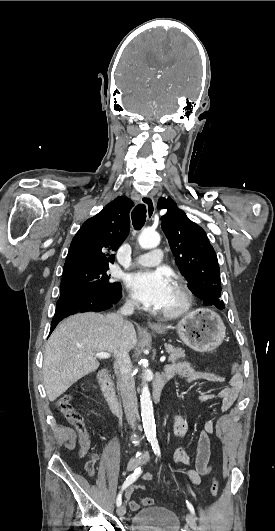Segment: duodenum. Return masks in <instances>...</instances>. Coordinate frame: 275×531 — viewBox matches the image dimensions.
I'll list each match as a JSON object with an SVG mask.
<instances>
[{"instance_id": "1", "label": "duodenum", "mask_w": 275, "mask_h": 531, "mask_svg": "<svg viewBox=\"0 0 275 531\" xmlns=\"http://www.w3.org/2000/svg\"><path fill=\"white\" fill-rule=\"evenodd\" d=\"M170 378L171 377L167 372H162L156 374L152 379L151 396L154 403H158L161 399L165 383ZM97 381L104 393V396L111 411L117 413L120 409V404L116 394L114 383L111 379L110 369L103 368L98 374Z\"/></svg>"}]
</instances>
